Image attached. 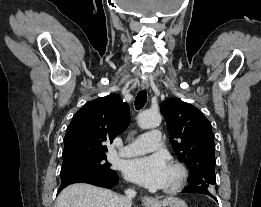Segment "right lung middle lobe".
I'll return each mask as SVG.
<instances>
[{
  "instance_id": "obj_1",
  "label": "right lung middle lobe",
  "mask_w": 261,
  "mask_h": 207,
  "mask_svg": "<svg viewBox=\"0 0 261 207\" xmlns=\"http://www.w3.org/2000/svg\"><path fill=\"white\" fill-rule=\"evenodd\" d=\"M116 171L110 168L106 154L89 155L64 160L60 172L61 179L80 174H110Z\"/></svg>"
}]
</instances>
